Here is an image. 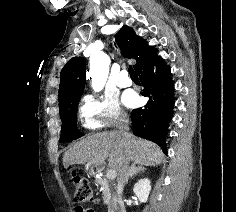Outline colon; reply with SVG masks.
<instances>
[{
    "mask_svg": "<svg viewBox=\"0 0 236 212\" xmlns=\"http://www.w3.org/2000/svg\"><path fill=\"white\" fill-rule=\"evenodd\" d=\"M74 198L81 203H94L96 198L88 180L80 175H73Z\"/></svg>",
    "mask_w": 236,
    "mask_h": 212,
    "instance_id": "colon-1",
    "label": "colon"
}]
</instances>
